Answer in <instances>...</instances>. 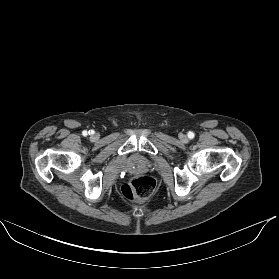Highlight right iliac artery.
Wrapping results in <instances>:
<instances>
[{
	"mask_svg": "<svg viewBox=\"0 0 279 279\" xmlns=\"http://www.w3.org/2000/svg\"><path fill=\"white\" fill-rule=\"evenodd\" d=\"M82 134H83L84 136H86V135H87V131H83Z\"/></svg>",
	"mask_w": 279,
	"mask_h": 279,
	"instance_id": "82829eb1",
	"label": "right iliac artery"
}]
</instances>
